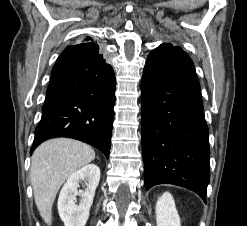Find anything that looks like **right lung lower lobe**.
Here are the masks:
<instances>
[{
  "mask_svg": "<svg viewBox=\"0 0 247 226\" xmlns=\"http://www.w3.org/2000/svg\"><path fill=\"white\" fill-rule=\"evenodd\" d=\"M115 75L92 42L68 46L58 57L30 153L43 141L69 137L108 158L115 105Z\"/></svg>",
  "mask_w": 247,
  "mask_h": 226,
  "instance_id": "1",
  "label": "right lung lower lobe"
}]
</instances>
